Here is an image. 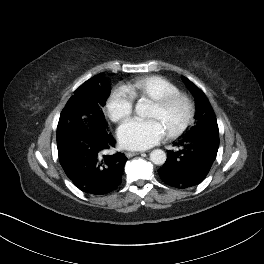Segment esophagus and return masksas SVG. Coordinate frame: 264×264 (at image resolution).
<instances>
[{"instance_id":"34e87169","label":"esophagus","mask_w":264,"mask_h":264,"mask_svg":"<svg viewBox=\"0 0 264 264\" xmlns=\"http://www.w3.org/2000/svg\"><path fill=\"white\" fill-rule=\"evenodd\" d=\"M141 154V152H126L125 155L128 157V158H131L135 155H139Z\"/></svg>"}]
</instances>
